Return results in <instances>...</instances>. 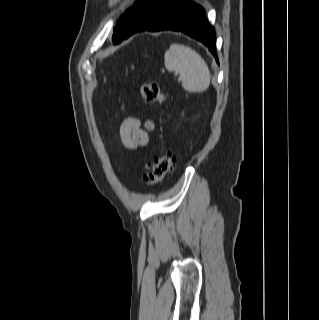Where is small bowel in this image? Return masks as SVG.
Segmentation results:
<instances>
[{
  "instance_id": "1",
  "label": "small bowel",
  "mask_w": 319,
  "mask_h": 320,
  "mask_svg": "<svg viewBox=\"0 0 319 320\" xmlns=\"http://www.w3.org/2000/svg\"><path fill=\"white\" fill-rule=\"evenodd\" d=\"M154 128L152 120L142 122L136 117H127L119 127L121 142L125 148L131 150L144 147L149 143V131Z\"/></svg>"
}]
</instances>
